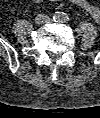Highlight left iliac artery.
<instances>
[{
	"instance_id": "obj_1",
	"label": "left iliac artery",
	"mask_w": 100,
	"mask_h": 118,
	"mask_svg": "<svg viewBox=\"0 0 100 118\" xmlns=\"http://www.w3.org/2000/svg\"><path fill=\"white\" fill-rule=\"evenodd\" d=\"M61 21H63V22L69 21V16L67 14L63 13L61 16Z\"/></svg>"
}]
</instances>
